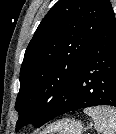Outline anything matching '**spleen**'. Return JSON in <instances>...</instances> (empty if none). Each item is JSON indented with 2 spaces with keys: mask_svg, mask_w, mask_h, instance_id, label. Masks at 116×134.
I'll return each instance as SVG.
<instances>
[{
  "mask_svg": "<svg viewBox=\"0 0 116 134\" xmlns=\"http://www.w3.org/2000/svg\"><path fill=\"white\" fill-rule=\"evenodd\" d=\"M84 112L93 119L99 134H116V109L98 106L86 108Z\"/></svg>",
  "mask_w": 116,
  "mask_h": 134,
  "instance_id": "1",
  "label": "spleen"
}]
</instances>
